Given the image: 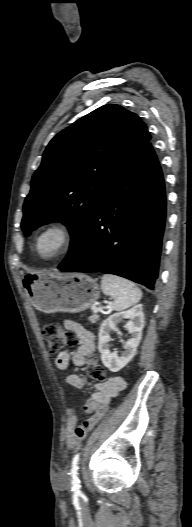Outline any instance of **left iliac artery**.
Masks as SVG:
<instances>
[{"label": "left iliac artery", "mask_w": 192, "mask_h": 527, "mask_svg": "<svg viewBox=\"0 0 192 527\" xmlns=\"http://www.w3.org/2000/svg\"><path fill=\"white\" fill-rule=\"evenodd\" d=\"M79 456L80 454H76L74 457H73V460H72V468H71V484H72V489L74 491H79V488H80V480L78 478V469H79Z\"/></svg>", "instance_id": "44dca946"}]
</instances>
